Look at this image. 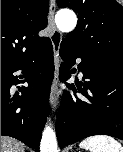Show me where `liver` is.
<instances>
[{"mask_svg":"<svg viewBox=\"0 0 123 152\" xmlns=\"http://www.w3.org/2000/svg\"><path fill=\"white\" fill-rule=\"evenodd\" d=\"M1 152H24V146L14 138L1 136Z\"/></svg>","mask_w":123,"mask_h":152,"instance_id":"6515ba94","label":"liver"}]
</instances>
